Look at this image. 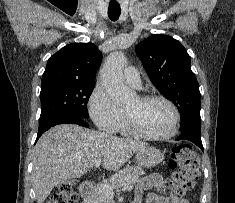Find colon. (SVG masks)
I'll return each instance as SVG.
<instances>
[{
	"label": "colon",
	"mask_w": 235,
	"mask_h": 203,
	"mask_svg": "<svg viewBox=\"0 0 235 203\" xmlns=\"http://www.w3.org/2000/svg\"><path fill=\"white\" fill-rule=\"evenodd\" d=\"M172 180L169 182L171 194L183 196L190 191L199 175V158L188 144H180L172 149L169 162ZM46 203H77V194L71 185L59 186Z\"/></svg>",
	"instance_id": "obj_1"
}]
</instances>
